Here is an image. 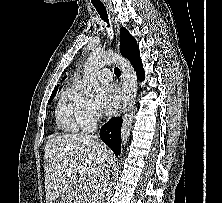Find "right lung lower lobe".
<instances>
[{
  "label": "right lung lower lobe",
  "instance_id": "right-lung-lower-lobe-1",
  "mask_svg": "<svg viewBox=\"0 0 222 203\" xmlns=\"http://www.w3.org/2000/svg\"><path fill=\"white\" fill-rule=\"evenodd\" d=\"M121 117H114L100 129V138L114 152L116 156L120 155L121 150Z\"/></svg>",
  "mask_w": 222,
  "mask_h": 203
}]
</instances>
